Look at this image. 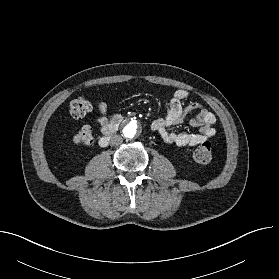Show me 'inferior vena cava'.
<instances>
[{
    "label": "inferior vena cava",
    "mask_w": 279,
    "mask_h": 279,
    "mask_svg": "<svg viewBox=\"0 0 279 279\" xmlns=\"http://www.w3.org/2000/svg\"><path fill=\"white\" fill-rule=\"evenodd\" d=\"M123 142V138L120 135H113L110 138V144L113 146H119Z\"/></svg>",
    "instance_id": "602c4592"
}]
</instances>
